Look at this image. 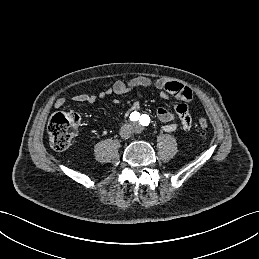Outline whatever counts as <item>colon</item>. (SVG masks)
Masks as SVG:
<instances>
[{"label": "colon", "instance_id": "5ec220e1", "mask_svg": "<svg viewBox=\"0 0 259 259\" xmlns=\"http://www.w3.org/2000/svg\"><path fill=\"white\" fill-rule=\"evenodd\" d=\"M79 116L72 113H56L48 123V134L51 146L58 151L67 149L73 140L79 125ZM208 121L201 118L198 129L202 134L208 131Z\"/></svg>", "mask_w": 259, "mask_h": 259}]
</instances>
